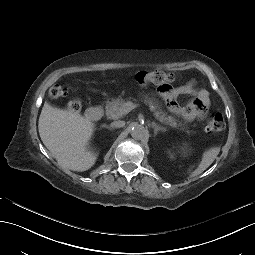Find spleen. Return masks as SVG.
<instances>
[{
  "instance_id": "1",
  "label": "spleen",
  "mask_w": 255,
  "mask_h": 255,
  "mask_svg": "<svg viewBox=\"0 0 255 255\" xmlns=\"http://www.w3.org/2000/svg\"><path fill=\"white\" fill-rule=\"evenodd\" d=\"M220 149L218 147H211L205 150L202 154V159L197 168L189 174L190 178L200 175L203 171H205L214 161V159L219 154ZM187 152V148L183 149V153Z\"/></svg>"
}]
</instances>
